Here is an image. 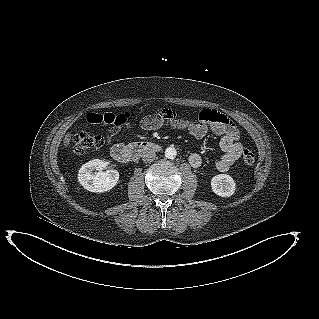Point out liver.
<instances>
[{"instance_id":"1","label":"liver","mask_w":319,"mask_h":319,"mask_svg":"<svg viewBox=\"0 0 319 319\" xmlns=\"http://www.w3.org/2000/svg\"><path fill=\"white\" fill-rule=\"evenodd\" d=\"M71 134L70 133H67L66 135H65V138H64V145L67 147L68 145H69V143H70V140H71Z\"/></svg>"}]
</instances>
